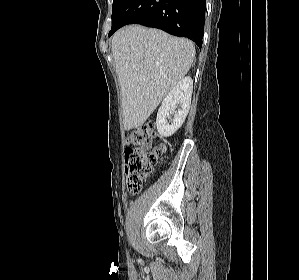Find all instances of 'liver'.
Here are the masks:
<instances>
[{
  "mask_svg": "<svg viewBox=\"0 0 299 280\" xmlns=\"http://www.w3.org/2000/svg\"><path fill=\"white\" fill-rule=\"evenodd\" d=\"M111 50L127 131L143 125L162 99L188 73L195 57L192 41L140 25L117 31L112 38Z\"/></svg>",
  "mask_w": 299,
  "mask_h": 280,
  "instance_id": "liver-1",
  "label": "liver"
}]
</instances>
